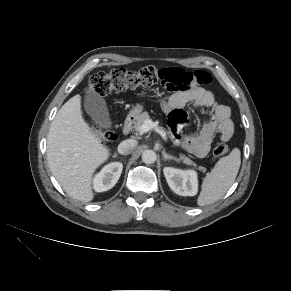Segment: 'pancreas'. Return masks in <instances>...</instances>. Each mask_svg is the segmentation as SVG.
<instances>
[{
  "label": "pancreas",
  "mask_w": 291,
  "mask_h": 291,
  "mask_svg": "<svg viewBox=\"0 0 291 291\" xmlns=\"http://www.w3.org/2000/svg\"><path fill=\"white\" fill-rule=\"evenodd\" d=\"M150 119V116L148 114V112H143L141 113L136 121L134 122L133 124V129L137 132H140V127L142 126V124L146 121V120H149ZM180 160H182V162L186 165H193V166H196V164L190 160V158L184 156V155H180ZM199 170L202 171V172H205L206 169L202 166L199 167Z\"/></svg>",
  "instance_id": "obj_1"
}]
</instances>
